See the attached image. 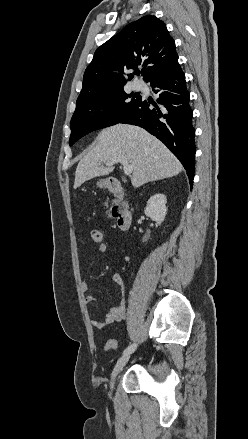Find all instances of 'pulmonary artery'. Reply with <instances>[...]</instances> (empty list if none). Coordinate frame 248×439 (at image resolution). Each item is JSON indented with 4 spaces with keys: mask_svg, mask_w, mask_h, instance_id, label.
Wrapping results in <instances>:
<instances>
[{
    "mask_svg": "<svg viewBox=\"0 0 248 439\" xmlns=\"http://www.w3.org/2000/svg\"><path fill=\"white\" fill-rule=\"evenodd\" d=\"M132 87H133V89H135V90H139V89H141V88L143 87V85H142V82H141V81L134 80V81L132 82Z\"/></svg>",
    "mask_w": 248,
    "mask_h": 439,
    "instance_id": "obj_1",
    "label": "pulmonary artery"
}]
</instances>
